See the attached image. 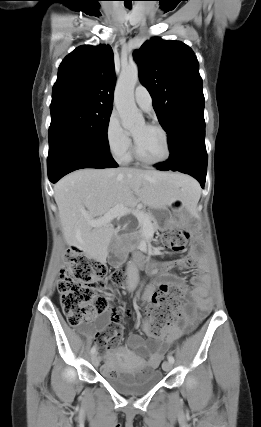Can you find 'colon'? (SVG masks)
Masks as SVG:
<instances>
[{
    "mask_svg": "<svg viewBox=\"0 0 261 427\" xmlns=\"http://www.w3.org/2000/svg\"><path fill=\"white\" fill-rule=\"evenodd\" d=\"M161 239L173 251L181 252L189 234L174 229L164 233ZM125 282L124 270L117 269L108 275L103 263L88 259L77 249L70 250L58 281L60 303L68 324L73 327L88 324L97 315L108 312L106 293L123 287ZM182 311V288L172 281L152 296L148 333L160 336L177 321Z\"/></svg>",
    "mask_w": 261,
    "mask_h": 427,
    "instance_id": "colon-1",
    "label": "colon"
}]
</instances>
